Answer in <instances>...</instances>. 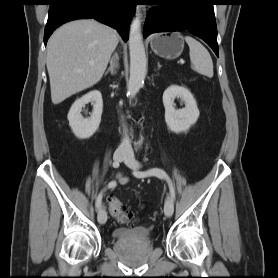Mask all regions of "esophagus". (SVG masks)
Masks as SVG:
<instances>
[{
  "instance_id": "1",
  "label": "esophagus",
  "mask_w": 278,
  "mask_h": 278,
  "mask_svg": "<svg viewBox=\"0 0 278 278\" xmlns=\"http://www.w3.org/2000/svg\"><path fill=\"white\" fill-rule=\"evenodd\" d=\"M137 10L140 13L141 19L143 20L146 14V8L144 6L139 5L137 6Z\"/></svg>"
}]
</instances>
